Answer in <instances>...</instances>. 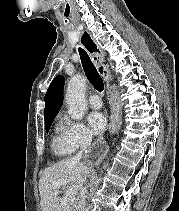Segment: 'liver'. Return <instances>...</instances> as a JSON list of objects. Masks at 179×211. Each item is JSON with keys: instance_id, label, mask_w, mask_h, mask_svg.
Wrapping results in <instances>:
<instances>
[{"instance_id": "obj_1", "label": "liver", "mask_w": 179, "mask_h": 211, "mask_svg": "<svg viewBox=\"0 0 179 211\" xmlns=\"http://www.w3.org/2000/svg\"><path fill=\"white\" fill-rule=\"evenodd\" d=\"M90 173L89 166L74 158L63 160L46 168L39 181L42 211H62V200L59 197V188L54 182L60 179L67 181L70 189L80 191Z\"/></svg>"}]
</instances>
